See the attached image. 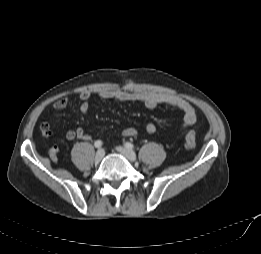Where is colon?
I'll use <instances>...</instances> for the list:
<instances>
[{
  "label": "colon",
  "instance_id": "1",
  "mask_svg": "<svg viewBox=\"0 0 261 254\" xmlns=\"http://www.w3.org/2000/svg\"><path fill=\"white\" fill-rule=\"evenodd\" d=\"M49 131H45L47 135ZM196 145V137L194 131H189L185 136V147L187 149H193Z\"/></svg>",
  "mask_w": 261,
  "mask_h": 254
}]
</instances>
